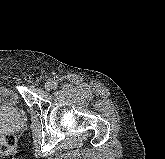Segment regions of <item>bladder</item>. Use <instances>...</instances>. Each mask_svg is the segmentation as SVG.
Returning <instances> with one entry per match:
<instances>
[{
    "instance_id": "31cf9c89",
    "label": "bladder",
    "mask_w": 165,
    "mask_h": 159,
    "mask_svg": "<svg viewBox=\"0 0 165 159\" xmlns=\"http://www.w3.org/2000/svg\"><path fill=\"white\" fill-rule=\"evenodd\" d=\"M20 102L16 89L10 86H0V108L12 110L17 108Z\"/></svg>"
}]
</instances>
